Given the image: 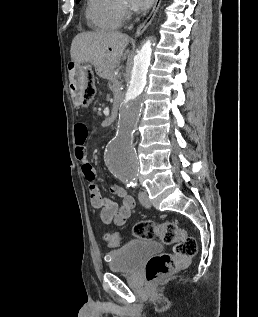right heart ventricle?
I'll use <instances>...</instances> for the list:
<instances>
[{
  "label": "right heart ventricle",
  "mask_w": 258,
  "mask_h": 317,
  "mask_svg": "<svg viewBox=\"0 0 258 317\" xmlns=\"http://www.w3.org/2000/svg\"><path fill=\"white\" fill-rule=\"evenodd\" d=\"M123 0H88L85 15L92 28L101 32L117 30L123 22Z\"/></svg>",
  "instance_id": "1"
}]
</instances>
